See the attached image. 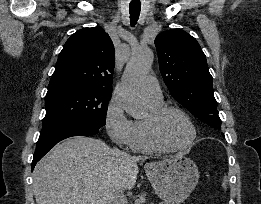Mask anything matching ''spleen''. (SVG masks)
Segmentation results:
<instances>
[{
    "label": "spleen",
    "mask_w": 261,
    "mask_h": 204,
    "mask_svg": "<svg viewBox=\"0 0 261 204\" xmlns=\"http://www.w3.org/2000/svg\"><path fill=\"white\" fill-rule=\"evenodd\" d=\"M222 187H223L224 189L227 188V177H226V176H225L224 179H223Z\"/></svg>",
    "instance_id": "spleen-1"
}]
</instances>
